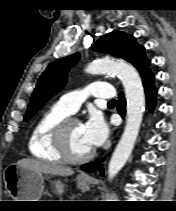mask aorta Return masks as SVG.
Returning a JSON list of instances; mask_svg holds the SVG:
<instances>
[{
	"mask_svg": "<svg viewBox=\"0 0 176 211\" xmlns=\"http://www.w3.org/2000/svg\"><path fill=\"white\" fill-rule=\"evenodd\" d=\"M86 71L90 74L112 72L119 75L126 95V125L108 166V178L112 180L128 160L142 122L145 109V95L141 78L136 69L125 63L100 59L88 65Z\"/></svg>",
	"mask_w": 176,
	"mask_h": 211,
	"instance_id": "obj_1",
	"label": "aorta"
}]
</instances>
